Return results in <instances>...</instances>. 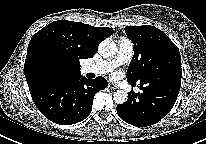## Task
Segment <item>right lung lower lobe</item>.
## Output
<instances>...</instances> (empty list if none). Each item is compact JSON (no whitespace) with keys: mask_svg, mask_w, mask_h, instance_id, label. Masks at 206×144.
<instances>
[{"mask_svg":"<svg viewBox=\"0 0 206 144\" xmlns=\"http://www.w3.org/2000/svg\"><path fill=\"white\" fill-rule=\"evenodd\" d=\"M107 87L103 77L46 79L29 87L40 112L50 121L70 125L84 120L92 110L94 95Z\"/></svg>","mask_w":206,"mask_h":144,"instance_id":"98d812e1","label":"right lung lower lobe"}]
</instances>
